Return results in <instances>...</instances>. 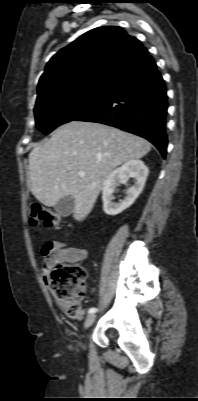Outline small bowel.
Returning <instances> with one entry per match:
<instances>
[{
  "instance_id": "small-bowel-1",
  "label": "small bowel",
  "mask_w": 198,
  "mask_h": 401,
  "mask_svg": "<svg viewBox=\"0 0 198 401\" xmlns=\"http://www.w3.org/2000/svg\"><path fill=\"white\" fill-rule=\"evenodd\" d=\"M40 254L42 256L40 273L44 280H48L51 269L58 263L83 261L89 258L86 249L60 241L45 242L41 247Z\"/></svg>"
}]
</instances>
